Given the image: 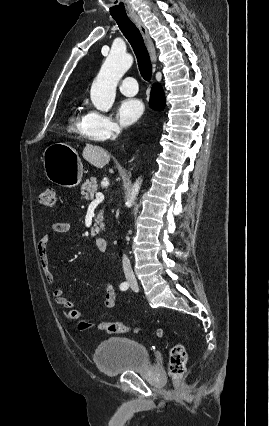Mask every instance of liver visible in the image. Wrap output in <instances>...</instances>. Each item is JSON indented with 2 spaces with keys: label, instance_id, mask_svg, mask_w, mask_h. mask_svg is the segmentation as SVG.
Masks as SVG:
<instances>
[{
  "label": "liver",
  "instance_id": "6515ba94",
  "mask_svg": "<svg viewBox=\"0 0 269 426\" xmlns=\"http://www.w3.org/2000/svg\"><path fill=\"white\" fill-rule=\"evenodd\" d=\"M83 158L96 168H103L110 161L109 153L98 145L86 144L82 152ZM113 173V169H109Z\"/></svg>",
  "mask_w": 269,
  "mask_h": 426
}]
</instances>
